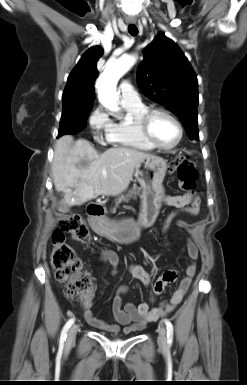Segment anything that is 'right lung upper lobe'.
<instances>
[{
  "label": "right lung upper lobe",
  "mask_w": 247,
  "mask_h": 385,
  "mask_svg": "<svg viewBox=\"0 0 247 385\" xmlns=\"http://www.w3.org/2000/svg\"><path fill=\"white\" fill-rule=\"evenodd\" d=\"M103 52L102 47L95 46L82 55L68 77L62 95V104L75 103L93 106L95 99L93 84L99 74L96 63Z\"/></svg>",
  "instance_id": "1"
}]
</instances>
